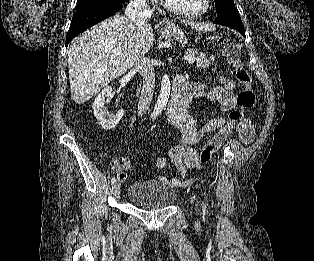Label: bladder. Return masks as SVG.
<instances>
[{"label": "bladder", "instance_id": "bladder-1", "mask_svg": "<svg viewBox=\"0 0 314 261\" xmlns=\"http://www.w3.org/2000/svg\"><path fill=\"white\" fill-rule=\"evenodd\" d=\"M128 199L143 209H164L172 206L175 202L176 190L174 187L160 181H142L129 187Z\"/></svg>", "mask_w": 314, "mask_h": 261}]
</instances>
